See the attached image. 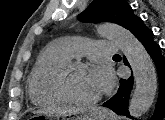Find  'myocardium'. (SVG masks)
I'll return each instance as SVG.
<instances>
[{
  "mask_svg": "<svg viewBox=\"0 0 165 120\" xmlns=\"http://www.w3.org/2000/svg\"><path fill=\"white\" fill-rule=\"evenodd\" d=\"M88 69V65L81 61H68L59 70L56 78V89L67 102L79 105H93L102 99V94L95 98L83 99L74 96L69 89V77L75 70Z\"/></svg>",
  "mask_w": 165,
  "mask_h": 120,
  "instance_id": "1",
  "label": "myocardium"
}]
</instances>
